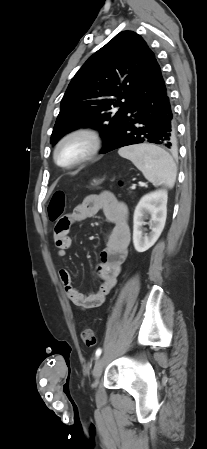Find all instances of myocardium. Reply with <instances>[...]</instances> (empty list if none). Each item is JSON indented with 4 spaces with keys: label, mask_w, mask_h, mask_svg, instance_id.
Here are the masks:
<instances>
[{
    "label": "myocardium",
    "mask_w": 207,
    "mask_h": 449,
    "mask_svg": "<svg viewBox=\"0 0 207 449\" xmlns=\"http://www.w3.org/2000/svg\"><path fill=\"white\" fill-rule=\"evenodd\" d=\"M84 139L87 144V150L85 151V153L79 157L78 159L70 162V163H61L58 159V153L60 148L66 144L67 142L73 140V139ZM102 147V138L100 133L91 128V127H85V126H81V127H76L70 131H68L66 134H64L56 143L54 151H53V158L55 163L63 168V169H70V168H74L77 167L79 165H82L90 160H92L93 158H95L97 156V154L100 152Z\"/></svg>",
    "instance_id": "myocardium-1"
}]
</instances>
